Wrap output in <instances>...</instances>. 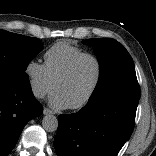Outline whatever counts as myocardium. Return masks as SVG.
I'll use <instances>...</instances> for the list:
<instances>
[{
    "label": "myocardium",
    "instance_id": "obj_1",
    "mask_svg": "<svg viewBox=\"0 0 156 156\" xmlns=\"http://www.w3.org/2000/svg\"><path fill=\"white\" fill-rule=\"evenodd\" d=\"M85 58H91L92 60L95 61L96 65H97V69H98L97 78H96V81H95L93 87L91 88L90 92L85 96V98L82 99L77 104H74L69 107L72 110H78V109L85 107L86 105H88L91 102V100L96 95V93L101 85L102 78H103V63H102L101 59L97 55H95L93 53H89V52H84V53L78 55L70 62V64L67 66V68L64 70V72L57 78V80L54 83V89L56 90L57 86L61 82L67 80L74 72L78 63Z\"/></svg>",
    "mask_w": 156,
    "mask_h": 156
}]
</instances>
